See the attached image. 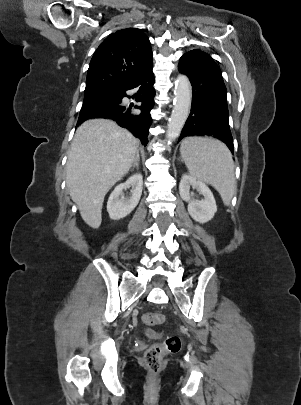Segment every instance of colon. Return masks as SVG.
Segmentation results:
<instances>
[{
  "label": "colon",
  "instance_id": "colon-1",
  "mask_svg": "<svg viewBox=\"0 0 301 405\" xmlns=\"http://www.w3.org/2000/svg\"><path fill=\"white\" fill-rule=\"evenodd\" d=\"M146 326H156L164 321V317L158 313H146L142 317ZM181 348V339L176 336H168L162 343L150 346L144 354V363L152 372L157 373L161 370L163 359L167 354L177 353Z\"/></svg>",
  "mask_w": 301,
  "mask_h": 405
}]
</instances>
